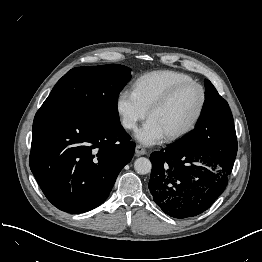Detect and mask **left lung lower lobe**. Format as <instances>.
<instances>
[{
	"label": "left lung lower lobe",
	"instance_id": "0a47b994",
	"mask_svg": "<svg viewBox=\"0 0 262 262\" xmlns=\"http://www.w3.org/2000/svg\"><path fill=\"white\" fill-rule=\"evenodd\" d=\"M223 142L220 153L171 144L151 154L149 189L164 213L179 219L194 217L222 194L237 154V139Z\"/></svg>",
	"mask_w": 262,
	"mask_h": 262
}]
</instances>
